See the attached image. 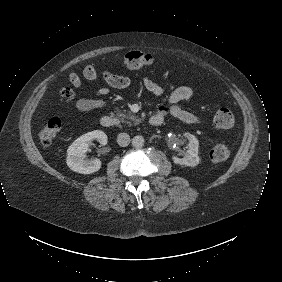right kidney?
<instances>
[{
    "label": "right kidney",
    "instance_id": "ca27d5eb",
    "mask_svg": "<svg viewBox=\"0 0 282 282\" xmlns=\"http://www.w3.org/2000/svg\"><path fill=\"white\" fill-rule=\"evenodd\" d=\"M93 141L105 145L107 143V135L100 130L87 132L78 137L68 147L66 164L71 171L78 174L89 175L101 169L102 162L99 159L90 161L84 158L85 153L89 150Z\"/></svg>",
    "mask_w": 282,
    "mask_h": 282
}]
</instances>
